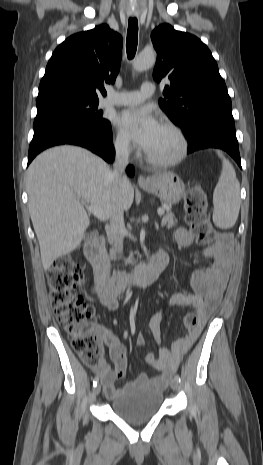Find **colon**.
I'll use <instances>...</instances> for the list:
<instances>
[{
    "mask_svg": "<svg viewBox=\"0 0 263 465\" xmlns=\"http://www.w3.org/2000/svg\"><path fill=\"white\" fill-rule=\"evenodd\" d=\"M186 223L200 245H209L216 233L209 222L204 189L192 185L185 193ZM50 299L59 324L73 339V348L82 361L92 368L103 365L102 337L95 327V310L77 292L82 285V268L71 257L57 260L48 273ZM199 317L190 312L184 316L183 326L192 331L198 327Z\"/></svg>",
    "mask_w": 263,
    "mask_h": 465,
    "instance_id": "colon-1",
    "label": "colon"
}]
</instances>
